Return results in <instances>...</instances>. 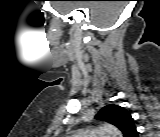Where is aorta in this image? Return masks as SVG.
<instances>
[{
	"instance_id": "1",
	"label": "aorta",
	"mask_w": 160,
	"mask_h": 137,
	"mask_svg": "<svg viewBox=\"0 0 160 137\" xmlns=\"http://www.w3.org/2000/svg\"><path fill=\"white\" fill-rule=\"evenodd\" d=\"M102 132L113 136H121V132L111 124H104L101 128Z\"/></svg>"
}]
</instances>
